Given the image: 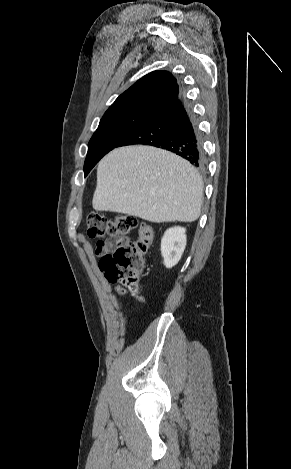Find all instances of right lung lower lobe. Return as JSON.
Returning a JSON list of instances; mask_svg holds the SVG:
<instances>
[{"label": "right lung lower lobe", "instance_id": "98d812e1", "mask_svg": "<svg viewBox=\"0 0 291 469\" xmlns=\"http://www.w3.org/2000/svg\"><path fill=\"white\" fill-rule=\"evenodd\" d=\"M143 144L169 150L203 168L205 157L196 117L183 96L159 109L116 147Z\"/></svg>", "mask_w": 291, "mask_h": 469}]
</instances>
